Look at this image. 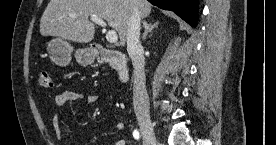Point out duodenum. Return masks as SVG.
<instances>
[{
	"mask_svg": "<svg viewBox=\"0 0 276 145\" xmlns=\"http://www.w3.org/2000/svg\"><path fill=\"white\" fill-rule=\"evenodd\" d=\"M94 54L98 61L113 64L121 82H126L129 79L130 73L127 66V59L123 52L96 45L94 47Z\"/></svg>",
	"mask_w": 276,
	"mask_h": 145,
	"instance_id": "410a0bca",
	"label": "duodenum"
}]
</instances>
